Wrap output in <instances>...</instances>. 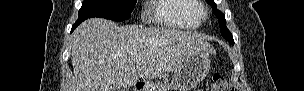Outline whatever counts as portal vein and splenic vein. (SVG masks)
Returning <instances> with one entry per match:
<instances>
[{
    "label": "portal vein and splenic vein",
    "instance_id": "obj_1",
    "mask_svg": "<svg viewBox=\"0 0 304 91\" xmlns=\"http://www.w3.org/2000/svg\"><path fill=\"white\" fill-rule=\"evenodd\" d=\"M140 60H141V58L138 57V56L134 58V61H135V62H139Z\"/></svg>",
    "mask_w": 304,
    "mask_h": 91
}]
</instances>
